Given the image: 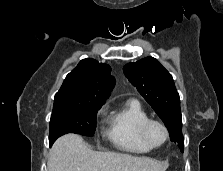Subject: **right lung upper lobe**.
<instances>
[{"label":"right lung upper lobe","instance_id":"right-lung-upper-lobe-1","mask_svg":"<svg viewBox=\"0 0 223 171\" xmlns=\"http://www.w3.org/2000/svg\"><path fill=\"white\" fill-rule=\"evenodd\" d=\"M115 85L109 65L92 58L83 59L65 78L54 102L104 104Z\"/></svg>","mask_w":223,"mask_h":171}]
</instances>
